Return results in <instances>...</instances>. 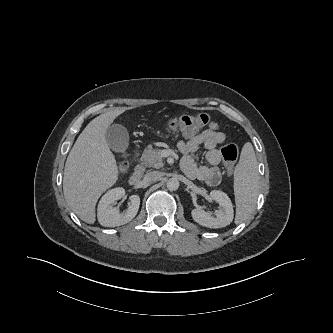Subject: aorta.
<instances>
[{
  "label": "aorta",
  "instance_id": "obj_1",
  "mask_svg": "<svg viewBox=\"0 0 333 333\" xmlns=\"http://www.w3.org/2000/svg\"><path fill=\"white\" fill-rule=\"evenodd\" d=\"M167 188L170 191H175L179 188V181L176 178H170L167 180Z\"/></svg>",
  "mask_w": 333,
  "mask_h": 333
}]
</instances>
